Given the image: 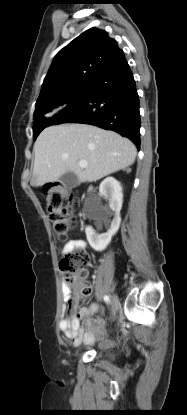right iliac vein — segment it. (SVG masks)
Listing matches in <instances>:
<instances>
[{
	"mask_svg": "<svg viewBox=\"0 0 187 415\" xmlns=\"http://www.w3.org/2000/svg\"><path fill=\"white\" fill-rule=\"evenodd\" d=\"M111 304H112V315L114 316L119 308V299L116 295L111 297Z\"/></svg>",
	"mask_w": 187,
	"mask_h": 415,
	"instance_id": "63e3f726",
	"label": "right iliac vein"
}]
</instances>
